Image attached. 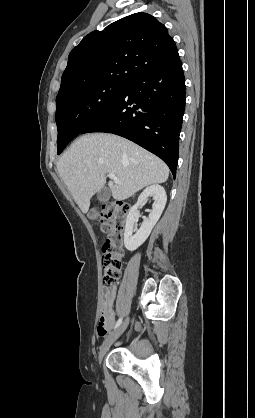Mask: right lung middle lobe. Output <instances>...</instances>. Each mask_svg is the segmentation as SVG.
Returning <instances> with one entry per match:
<instances>
[{"label": "right lung middle lobe", "instance_id": "1", "mask_svg": "<svg viewBox=\"0 0 255 418\" xmlns=\"http://www.w3.org/2000/svg\"><path fill=\"white\" fill-rule=\"evenodd\" d=\"M128 84L97 82L63 92L56 97L57 153L101 116Z\"/></svg>", "mask_w": 255, "mask_h": 418}]
</instances>
